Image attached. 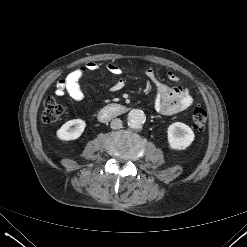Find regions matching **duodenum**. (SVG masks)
Returning <instances> with one entry per match:
<instances>
[{
	"instance_id": "duodenum-1",
	"label": "duodenum",
	"mask_w": 247,
	"mask_h": 247,
	"mask_svg": "<svg viewBox=\"0 0 247 247\" xmlns=\"http://www.w3.org/2000/svg\"><path fill=\"white\" fill-rule=\"evenodd\" d=\"M127 111V107L121 104H109L103 107L98 114L101 121H107L114 117L124 114Z\"/></svg>"
}]
</instances>
